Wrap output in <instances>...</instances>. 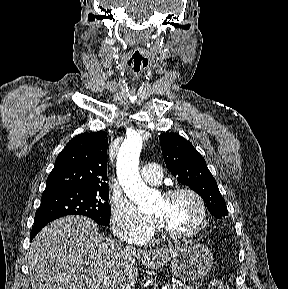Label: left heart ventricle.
<instances>
[{
	"label": "left heart ventricle",
	"mask_w": 288,
	"mask_h": 289,
	"mask_svg": "<svg viewBox=\"0 0 288 289\" xmlns=\"http://www.w3.org/2000/svg\"><path fill=\"white\" fill-rule=\"evenodd\" d=\"M151 216L161 219L172 231L184 233L196 227L201 214L194 198L180 195L169 201L159 198Z\"/></svg>",
	"instance_id": "b2bd125f"
}]
</instances>
